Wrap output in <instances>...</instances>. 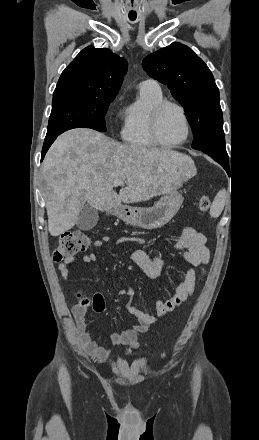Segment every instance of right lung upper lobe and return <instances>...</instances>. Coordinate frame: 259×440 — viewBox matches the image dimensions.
I'll return each mask as SVG.
<instances>
[{"instance_id": "cb5924a9", "label": "right lung upper lobe", "mask_w": 259, "mask_h": 440, "mask_svg": "<svg viewBox=\"0 0 259 440\" xmlns=\"http://www.w3.org/2000/svg\"><path fill=\"white\" fill-rule=\"evenodd\" d=\"M127 61L107 48L88 46L62 72L53 96L113 98L121 87Z\"/></svg>"}]
</instances>
